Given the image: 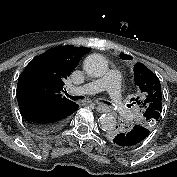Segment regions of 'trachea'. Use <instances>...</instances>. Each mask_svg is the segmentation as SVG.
Returning a JSON list of instances; mask_svg holds the SVG:
<instances>
[{"label": "trachea", "mask_w": 177, "mask_h": 177, "mask_svg": "<svg viewBox=\"0 0 177 177\" xmlns=\"http://www.w3.org/2000/svg\"><path fill=\"white\" fill-rule=\"evenodd\" d=\"M66 96L69 97L70 99H72L73 101H77V100H80V99L84 98L83 96H71V95L67 94V92H66ZM103 102L105 104L111 105V103H109L107 101H103Z\"/></svg>", "instance_id": "obj_1"}]
</instances>
